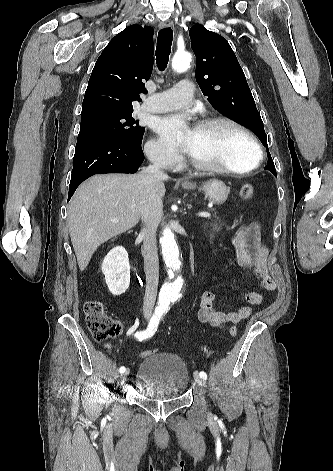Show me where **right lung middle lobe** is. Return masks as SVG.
<instances>
[{
    "instance_id": "right-lung-middle-lobe-1",
    "label": "right lung middle lobe",
    "mask_w": 333,
    "mask_h": 471,
    "mask_svg": "<svg viewBox=\"0 0 333 471\" xmlns=\"http://www.w3.org/2000/svg\"><path fill=\"white\" fill-rule=\"evenodd\" d=\"M133 109L81 118L79 137L106 135L141 145L144 127L132 117Z\"/></svg>"
}]
</instances>
